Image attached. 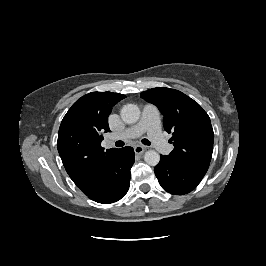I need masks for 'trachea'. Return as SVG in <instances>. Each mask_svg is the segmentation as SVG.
Returning <instances> with one entry per match:
<instances>
[{
    "label": "trachea",
    "instance_id": "3493384b",
    "mask_svg": "<svg viewBox=\"0 0 266 266\" xmlns=\"http://www.w3.org/2000/svg\"><path fill=\"white\" fill-rule=\"evenodd\" d=\"M141 142L144 144V145H151V142L148 140V139H142ZM115 146L116 147H122L124 146V142L119 140V141H116L115 143Z\"/></svg>",
    "mask_w": 266,
    "mask_h": 266
}]
</instances>
